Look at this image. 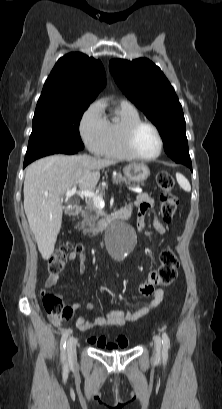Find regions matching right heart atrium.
<instances>
[{"instance_id":"obj_1","label":"right heart atrium","mask_w":222,"mask_h":409,"mask_svg":"<svg viewBox=\"0 0 222 409\" xmlns=\"http://www.w3.org/2000/svg\"><path fill=\"white\" fill-rule=\"evenodd\" d=\"M78 127L86 147L91 152L99 154L107 133V121L99 103L94 102L86 108Z\"/></svg>"}]
</instances>
